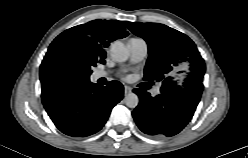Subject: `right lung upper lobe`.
Listing matches in <instances>:
<instances>
[{"label":"right lung upper lobe","instance_id":"right-lung-upper-lobe-1","mask_svg":"<svg viewBox=\"0 0 248 158\" xmlns=\"http://www.w3.org/2000/svg\"><path fill=\"white\" fill-rule=\"evenodd\" d=\"M127 35L124 24L117 20H93L62 32L50 44L40 66L42 94L57 88L78 86L89 82V77L84 73H79L71 78H61L53 72L52 59L59 47H74L97 63L104 64L106 52L103 48L107 47L109 42Z\"/></svg>","mask_w":248,"mask_h":158}]
</instances>
